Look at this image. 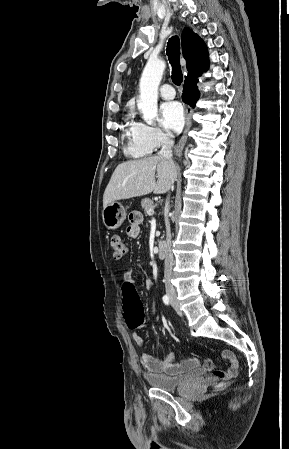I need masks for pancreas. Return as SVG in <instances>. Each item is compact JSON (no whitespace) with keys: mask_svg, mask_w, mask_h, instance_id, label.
Masks as SVG:
<instances>
[{"mask_svg":"<svg viewBox=\"0 0 289 449\" xmlns=\"http://www.w3.org/2000/svg\"><path fill=\"white\" fill-rule=\"evenodd\" d=\"M141 206L145 213H147L149 209H154L155 207L153 200H151L150 198H144L141 201Z\"/></svg>","mask_w":289,"mask_h":449,"instance_id":"obj_1","label":"pancreas"}]
</instances>
